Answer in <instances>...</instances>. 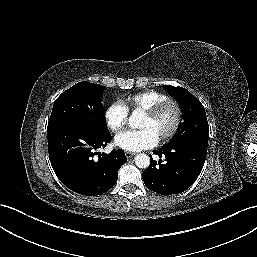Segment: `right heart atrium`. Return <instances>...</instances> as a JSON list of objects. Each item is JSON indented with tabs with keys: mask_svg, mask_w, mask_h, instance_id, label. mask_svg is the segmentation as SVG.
<instances>
[{
	"mask_svg": "<svg viewBox=\"0 0 257 257\" xmlns=\"http://www.w3.org/2000/svg\"><path fill=\"white\" fill-rule=\"evenodd\" d=\"M107 127L113 133H120L128 122V109L121 101L112 102L104 112Z\"/></svg>",
	"mask_w": 257,
	"mask_h": 257,
	"instance_id": "1",
	"label": "right heart atrium"
}]
</instances>
